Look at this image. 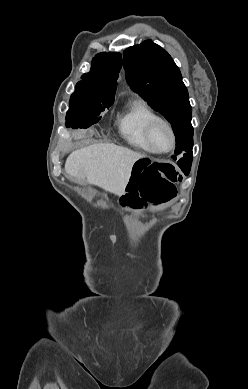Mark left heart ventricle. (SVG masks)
Returning <instances> with one entry per match:
<instances>
[{
    "mask_svg": "<svg viewBox=\"0 0 248 389\" xmlns=\"http://www.w3.org/2000/svg\"><path fill=\"white\" fill-rule=\"evenodd\" d=\"M152 145L155 149L165 150L169 147V137L166 128L162 125L156 126L152 133Z\"/></svg>",
    "mask_w": 248,
    "mask_h": 389,
    "instance_id": "1",
    "label": "left heart ventricle"
}]
</instances>
